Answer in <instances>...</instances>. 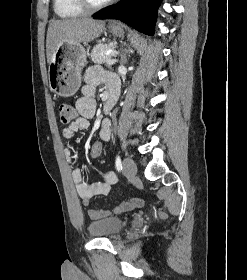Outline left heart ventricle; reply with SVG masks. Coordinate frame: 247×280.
I'll return each mask as SVG.
<instances>
[{
    "label": "left heart ventricle",
    "mask_w": 247,
    "mask_h": 280,
    "mask_svg": "<svg viewBox=\"0 0 247 280\" xmlns=\"http://www.w3.org/2000/svg\"><path fill=\"white\" fill-rule=\"evenodd\" d=\"M92 2L94 3H99V2H102V1H105V0H91Z\"/></svg>",
    "instance_id": "left-heart-ventricle-1"
}]
</instances>
